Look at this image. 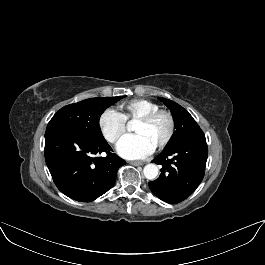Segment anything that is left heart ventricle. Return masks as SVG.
<instances>
[{
    "mask_svg": "<svg viewBox=\"0 0 265 265\" xmlns=\"http://www.w3.org/2000/svg\"><path fill=\"white\" fill-rule=\"evenodd\" d=\"M167 129L168 122L164 116H159L148 124L135 123L133 126V132L144 136L153 148L162 141Z\"/></svg>",
    "mask_w": 265,
    "mask_h": 265,
    "instance_id": "1",
    "label": "left heart ventricle"
}]
</instances>
